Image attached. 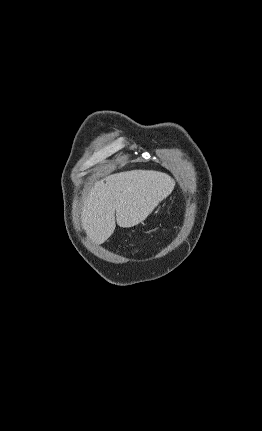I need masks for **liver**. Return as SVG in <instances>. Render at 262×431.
Masks as SVG:
<instances>
[{
	"label": "liver",
	"mask_w": 262,
	"mask_h": 431,
	"mask_svg": "<svg viewBox=\"0 0 262 431\" xmlns=\"http://www.w3.org/2000/svg\"><path fill=\"white\" fill-rule=\"evenodd\" d=\"M174 186L169 175L152 170L116 173L96 182L82 206L87 236L96 244L104 243L115 230V213L120 227L142 223Z\"/></svg>",
	"instance_id": "6515ba94"
}]
</instances>
